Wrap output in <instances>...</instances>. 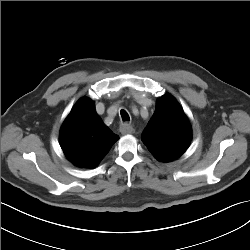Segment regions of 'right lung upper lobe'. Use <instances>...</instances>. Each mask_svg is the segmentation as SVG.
<instances>
[{
	"instance_id": "right-lung-upper-lobe-1",
	"label": "right lung upper lobe",
	"mask_w": 250,
	"mask_h": 250,
	"mask_svg": "<svg viewBox=\"0 0 250 250\" xmlns=\"http://www.w3.org/2000/svg\"><path fill=\"white\" fill-rule=\"evenodd\" d=\"M118 139L97 115L89 98L76 103L60 131L61 148L78 167H95Z\"/></svg>"
}]
</instances>
